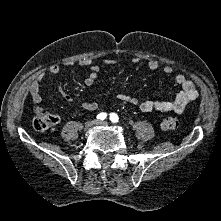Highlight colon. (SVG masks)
<instances>
[{
    "instance_id": "obj_1",
    "label": "colon",
    "mask_w": 221,
    "mask_h": 221,
    "mask_svg": "<svg viewBox=\"0 0 221 221\" xmlns=\"http://www.w3.org/2000/svg\"><path fill=\"white\" fill-rule=\"evenodd\" d=\"M58 122L57 115L38 112L33 120V127L37 131H45ZM178 120L174 117H167L162 122L165 130H175L178 128Z\"/></svg>"
}]
</instances>
